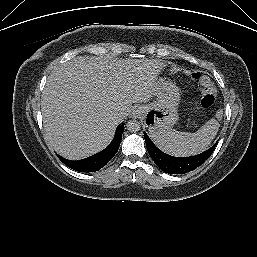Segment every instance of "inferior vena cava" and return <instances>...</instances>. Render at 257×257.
<instances>
[{"label": "inferior vena cava", "instance_id": "1", "mask_svg": "<svg viewBox=\"0 0 257 257\" xmlns=\"http://www.w3.org/2000/svg\"><path fill=\"white\" fill-rule=\"evenodd\" d=\"M117 120H120L122 118V115L121 114H116L115 117Z\"/></svg>", "mask_w": 257, "mask_h": 257}]
</instances>
